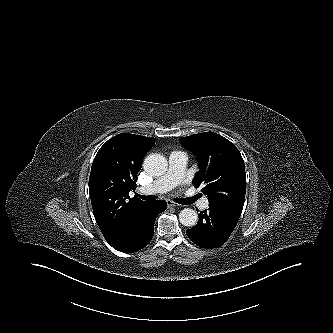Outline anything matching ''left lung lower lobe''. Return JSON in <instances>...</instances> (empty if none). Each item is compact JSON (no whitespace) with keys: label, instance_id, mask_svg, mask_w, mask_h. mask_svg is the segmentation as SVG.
<instances>
[{"label":"left lung lower lobe","instance_id":"1","mask_svg":"<svg viewBox=\"0 0 333 333\" xmlns=\"http://www.w3.org/2000/svg\"><path fill=\"white\" fill-rule=\"evenodd\" d=\"M239 218L219 206L209 204V209L200 212L198 223L187 230V235L202 248L220 247L231 235Z\"/></svg>","mask_w":333,"mask_h":333}]
</instances>
